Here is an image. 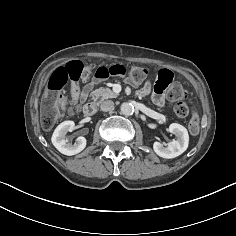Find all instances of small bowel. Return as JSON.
Wrapping results in <instances>:
<instances>
[{
	"mask_svg": "<svg viewBox=\"0 0 236 236\" xmlns=\"http://www.w3.org/2000/svg\"><path fill=\"white\" fill-rule=\"evenodd\" d=\"M159 75V73H158ZM94 86L93 82H88L84 85L82 89H79L78 87L72 88V99H76L77 101L83 102L86 100L87 96L89 95L90 91L92 90ZM149 84H146L140 91L142 95H146L149 92ZM153 101L155 104L162 106L164 104V93H157L154 91L153 93Z\"/></svg>",
	"mask_w": 236,
	"mask_h": 236,
	"instance_id": "obj_1",
	"label": "small bowel"
}]
</instances>
